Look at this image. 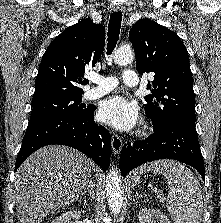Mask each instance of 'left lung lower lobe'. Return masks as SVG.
<instances>
[{"label":"left lung lower lobe","instance_id":"left-lung-lower-lobe-1","mask_svg":"<svg viewBox=\"0 0 221 223\" xmlns=\"http://www.w3.org/2000/svg\"><path fill=\"white\" fill-rule=\"evenodd\" d=\"M175 159L194 167L205 180L195 121L175 119L163 129H155L148 138L125 143L120 156V170L125 176L133 168L157 159Z\"/></svg>","mask_w":221,"mask_h":223}]
</instances>
